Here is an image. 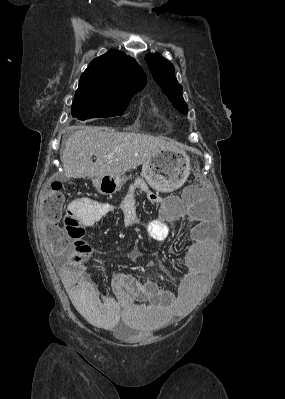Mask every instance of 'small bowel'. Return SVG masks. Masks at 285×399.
I'll use <instances>...</instances> for the list:
<instances>
[{
  "label": "small bowel",
  "instance_id": "1",
  "mask_svg": "<svg viewBox=\"0 0 285 399\" xmlns=\"http://www.w3.org/2000/svg\"><path fill=\"white\" fill-rule=\"evenodd\" d=\"M136 190L144 191L143 185L134 183L120 204V211L129 227L139 224L134 197ZM147 198L159 205L164 215L194 218L197 211V208L183 205L172 197L163 200L147 192ZM114 209L111 204L90 198H76L67 207L64 225L70 239L65 246L68 254L60 266V276L75 309L103 329H113L119 323L127 322L142 330L153 331L188 316L208 275L201 229L190 236L183 269L174 277L176 294L156 283L140 282L128 273L113 277L111 293L101 296L95 291L88 275L90 248L83 240L85 228L96 226L107 212ZM146 231L154 241L167 240L171 235L165 220L159 217L146 224Z\"/></svg>",
  "mask_w": 285,
  "mask_h": 399
}]
</instances>
